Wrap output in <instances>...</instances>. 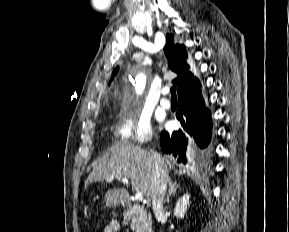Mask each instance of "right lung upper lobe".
I'll return each mask as SVG.
<instances>
[{
	"instance_id": "obj_1",
	"label": "right lung upper lobe",
	"mask_w": 289,
	"mask_h": 232,
	"mask_svg": "<svg viewBox=\"0 0 289 232\" xmlns=\"http://www.w3.org/2000/svg\"><path fill=\"white\" fill-rule=\"evenodd\" d=\"M167 43L164 48L168 59L169 67L177 73L178 77L173 83L178 86L179 97L200 90V81L189 71L190 66L186 62V50L184 45H174V37L171 34L166 35ZM118 68L113 71L116 75Z\"/></svg>"
}]
</instances>
